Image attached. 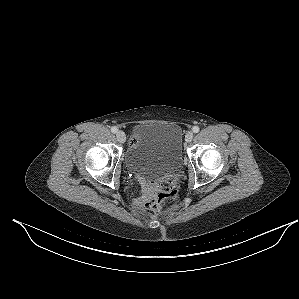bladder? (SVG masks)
Listing matches in <instances>:
<instances>
[{"label": "bladder", "instance_id": "bladder-1", "mask_svg": "<svg viewBox=\"0 0 299 299\" xmlns=\"http://www.w3.org/2000/svg\"><path fill=\"white\" fill-rule=\"evenodd\" d=\"M127 168L146 178H161L182 166V130L176 124L143 123L125 155Z\"/></svg>", "mask_w": 299, "mask_h": 299}]
</instances>
